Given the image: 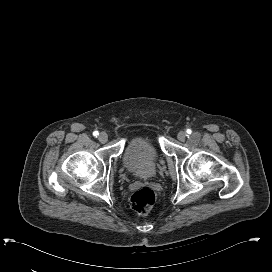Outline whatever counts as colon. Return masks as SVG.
Listing matches in <instances>:
<instances>
[{
	"mask_svg": "<svg viewBox=\"0 0 272 272\" xmlns=\"http://www.w3.org/2000/svg\"><path fill=\"white\" fill-rule=\"evenodd\" d=\"M155 193L149 188H141L135 191L131 197V205L138 215H146L155 203Z\"/></svg>",
	"mask_w": 272,
	"mask_h": 272,
	"instance_id": "5ec220e1",
	"label": "colon"
}]
</instances>
